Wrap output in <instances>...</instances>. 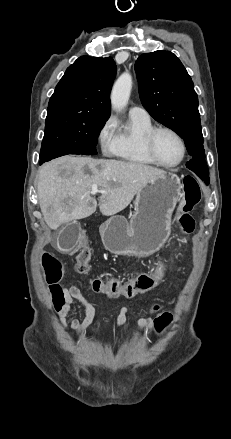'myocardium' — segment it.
Returning <instances> with one entry per match:
<instances>
[{
	"label": "myocardium",
	"mask_w": 231,
	"mask_h": 439,
	"mask_svg": "<svg viewBox=\"0 0 231 439\" xmlns=\"http://www.w3.org/2000/svg\"><path fill=\"white\" fill-rule=\"evenodd\" d=\"M160 132H168V133L172 134L180 143L181 156H180L179 160L173 164H166V163L162 162L156 154L155 139H156V136ZM143 145H144V149H145L147 156L156 165L163 167V168H167V169H171V168H175V167L179 166L184 161V159L186 157V153H187V147H186V143H185L183 137L176 130H174L173 128L168 127V126L153 127L151 130H149L144 136Z\"/></svg>",
	"instance_id": "1"
}]
</instances>
